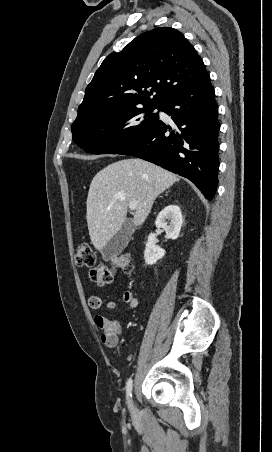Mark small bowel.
<instances>
[{
  "instance_id": "c3829d8e",
  "label": "small bowel",
  "mask_w": 272,
  "mask_h": 452,
  "mask_svg": "<svg viewBox=\"0 0 272 452\" xmlns=\"http://www.w3.org/2000/svg\"><path fill=\"white\" fill-rule=\"evenodd\" d=\"M122 301L126 304L128 310H134L137 308L139 301L134 294L126 290L122 294ZM103 305V300L100 295H91L88 299V306L92 310H99ZM105 307L109 310H115L118 308V304L114 301H108L105 303ZM94 323L97 328L102 330L101 340L106 346L116 345L118 337L121 333V324L118 320L110 319L103 315L97 314L94 317Z\"/></svg>"
}]
</instances>
